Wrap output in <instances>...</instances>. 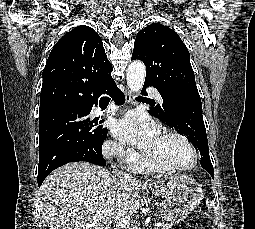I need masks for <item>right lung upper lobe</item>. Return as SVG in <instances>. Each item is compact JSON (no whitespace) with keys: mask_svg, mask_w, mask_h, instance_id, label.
Masks as SVG:
<instances>
[{"mask_svg":"<svg viewBox=\"0 0 255 229\" xmlns=\"http://www.w3.org/2000/svg\"><path fill=\"white\" fill-rule=\"evenodd\" d=\"M112 65L99 35L81 25L54 46L43 70L39 117L59 110L92 108L114 88Z\"/></svg>","mask_w":255,"mask_h":229,"instance_id":"obj_1","label":"right lung upper lobe"}]
</instances>
